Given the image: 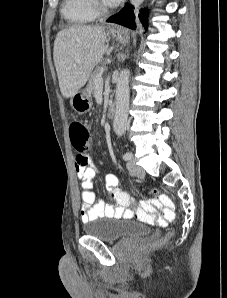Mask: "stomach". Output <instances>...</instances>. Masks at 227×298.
Instances as JSON below:
<instances>
[{
	"instance_id": "stomach-1",
	"label": "stomach",
	"mask_w": 227,
	"mask_h": 298,
	"mask_svg": "<svg viewBox=\"0 0 227 298\" xmlns=\"http://www.w3.org/2000/svg\"><path fill=\"white\" fill-rule=\"evenodd\" d=\"M112 35L117 41L121 43H127L129 36L125 32L112 31ZM70 104L75 112L82 115L91 110L92 107V96L89 88H83L71 97Z\"/></svg>"
}]
</instances>
